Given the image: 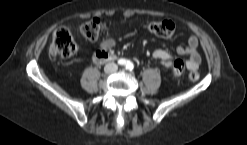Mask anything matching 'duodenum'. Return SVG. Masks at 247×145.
<instances>
[{
  "instance_id": "obj_1",
  "label": "duodenum",
  "mask_w": 247,
  "mask_h": 145,
  "mask_svg": "<svg viewBox=\"0 0 247 145\" xmlns=\"http://www.w3.org/2000/svg\"><path fill=\"white\" fill-rule=\"evenodd\" d=\"M117 56L108 51H98L94 54L93 59L97 63H105L116 60Z\"/></svg>"
}]
</instances>
